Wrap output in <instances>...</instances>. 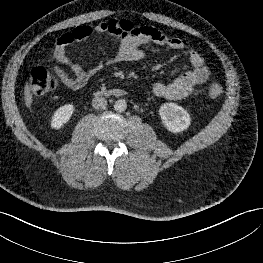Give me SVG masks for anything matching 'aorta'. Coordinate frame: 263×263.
I'll return each mask as SVG.
<instances>
[{
    "instance_id": "762f6f07",
    "label": "aorta",
    "mask_w": 263,
    "mask_h": 263,
    "mask_svg": "<svg viewBox=\"0 0 263 263\" xmlns=\"http://www.w3.org/2000/svg\"><path fill=\"white\" fill-rule=\"evenodd\" d=\"M115 111L122 113L127 109V103L124 99H119L114 103Z\"/></svg>"
}]
</instances>
